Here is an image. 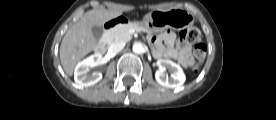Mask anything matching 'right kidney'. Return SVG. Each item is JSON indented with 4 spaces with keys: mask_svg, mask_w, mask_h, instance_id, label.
Listing matches in <instances>:
<instances>
[{
    "mask_svg": "<svg viewBox=\"0 0 276 120\" xmlns=\"http://www.w3.org/2000/svg\"><path fill=\"white\" fill-rule=\"evenodd\" d=\"M101 59L100 54L91 55L80 61L74 71V80L81 87H87L96 84L102 79V73L94 72L92 75L88 74L91 67L98 64Z\"/></svg>",
    "mask_w": 276,
    "mask_h": 120,
    "instance_id": "ca27d5eb",
    "label": "right kidney"
}]
</instances>
